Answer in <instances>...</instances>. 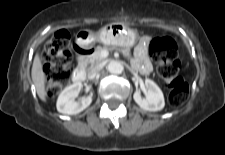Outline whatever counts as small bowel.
<instances>
[{
	"instance_id": "c3829d8e",
	"label": "small bowel",
	"mask_w": 225,
	"mask_h": 155,
	"mask_svg": "<svg viewBox=\"0 0 225 155\" xmlns=\"http://www.w3.org/2000/svg\"><path fill=\"white\" fill-rule=\"evenodd\" d=\"M133 64L141 73L147 74L151 72L152 64L147 55L146 39H143L135 48Z\"/></svg>"
}]
</instances>
